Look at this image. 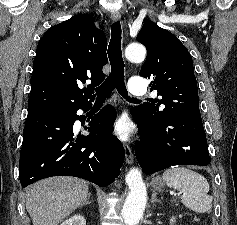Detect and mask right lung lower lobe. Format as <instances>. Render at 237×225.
<instances>
[{"label": "right lung lower lobe", "instance_id": "right-lung-lower-lobe-1", "mask_svg": "<svg viewBox=\"0 0 237 225\" xmlns=\"http://www.w3.org/2000/svg\"><path fill=\"white\" fill-rule=\"evenodd\" d=\"M91 102L61 110L27 116L20 153L22 187L51 176H75L105 187L120 174L124 148L111 134L116 119L112 106L104 107L86 127L87 136L75 134L73 125L85 118L77 110L90 109Z\"/></svg>", "mask_w": 237, "mask_h": 225}]
</instances>
